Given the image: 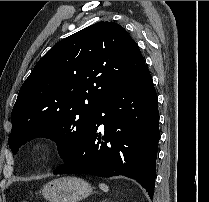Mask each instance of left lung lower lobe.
Wrapping results in <instances>:
<instances>
[{
    "label": "left lung lower lobe",
    "instance_id": "0a47b994",
    "mask_svg": "<svg viewBox=\"0 0 209 202\" xmlns=\"http://www.w3.org/2000/svg\"><path fill=\"white\" fill-rule=\"evenodd\" d=\"M158 97L145 65L94 108L84 138L53 174L126 176L153 198L160 138ZM104 131L98 133L100 125Z\"/></svg>",
    "mask_w": 209,
    "mask_h": 202
}]
</instances>
